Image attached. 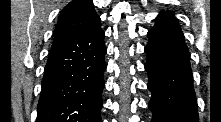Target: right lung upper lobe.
<instances>
[{"label": "right lung upper lobe", "mask_w": 221, "mask_h": 122, "mask_svg": "<svg viewBox=\"0 0 221 122\" xmlns=\"http://www.w3.org/2000/svg\"><path fill=\"white\" fill-rule=\"evenodd\" d=\"M100 22L92 0H73L61 12L55 28L53 46L78 35Z\"/></svg>", "instance_id": "cb5924a9"}]
</instances>
